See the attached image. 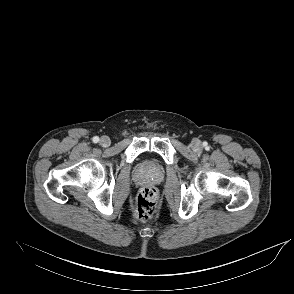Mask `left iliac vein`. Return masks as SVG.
Masks as SVG:
<instances>
[{
    "label": "left iliac vein",
    "instance_id": "left-iliac-vein-1",
    "mask_svg": "<svg viewBox=\"0 0 294 294\" xmlns=\"http://www.w3.org/2000/svg\"><path fill=\"white\" fill-rule=\"evenodd\" d=\"M201 143L199 140H194L193 143H192V148L195 150V151H199L201 150Z\"/></svg>",
    "mask_w": 294,
    "mask_h": 294
}]
</instances>
